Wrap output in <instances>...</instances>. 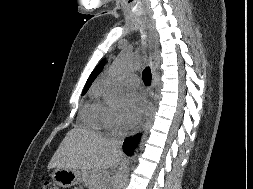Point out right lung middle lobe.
<instances>
[{"label": "right lung middle lobe", "mask_w": 253, "mask_h": 189, "mask_svg": "<svg viewBox=\"0 0 253 189\" xmlns=\"http://www.w3.org/2000/svg\"><path fill=\"white\" fill-rule=\"evenodd\" d=\"M87 92V90H83L82 95H84Z\"/></svg>", "instance_id": "1"}]
</instances>
